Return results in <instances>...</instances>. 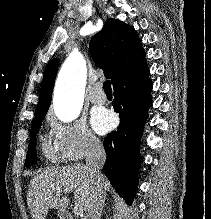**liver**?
Masks as SVG:
<instances>
[{"mask_svg": "<svg viewBox=\"0 0 211 219\" xmlns=\"http://www.w3.org/2000/svg\"><path fill=\"white\" fill-rule=\"evenodd\" d=\"M111 187L104 178L103 188L105 193ZM74 190L76 206L82 211H87L95 192L94 181L86 165L47 169L37 174L29 184L27 204L33 219H45L49 209L64 210L69 204L67 194Z\"/></svg>", "mask_w": 211, "mask_h": 219, "instance_id": "liver-1", "label": "liver"}]
</instances>
